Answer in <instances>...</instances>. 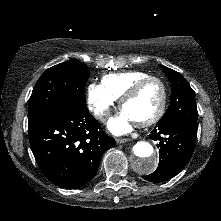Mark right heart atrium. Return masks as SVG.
Returning <instances> with one entry per match:
<instances>
[{
  "mask_svg": "<svg viewBox=\"0 0 221 221\" xmlns=\"http://www.w3.org/2000/svg\"><path fill=\"white\" fill-rule=\"evenodd\" d=\"M116 99L102 84L91 83L87 89V103L90 111L100 121L104 122L110 115Z\"/></svg>",
  "mask_w": 221,
  "mask_h": 221,
  "instance_id": "d8ad5b80",
  "label": "right heart atrium"
}]
</instances>
